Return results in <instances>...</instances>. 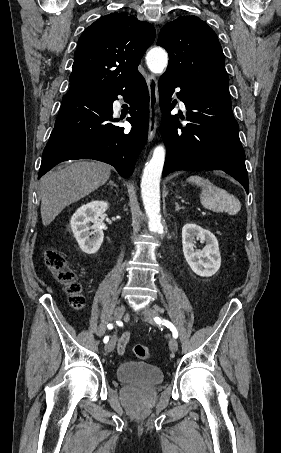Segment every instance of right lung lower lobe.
<instances>
[{"instance_id": "right-lung-lower-lobe-1", "label": "right lung lower lobe", "mask_w": 281, "mask_h": 453, "mask_svg": "<svg viewBox=\"0 0 281 453\" xmlns=\"http://www.w3.org/2000/svg\"><path fill=\"white\" fill-rule=\"evenodd\" d=\"M117 95L130 104L131 131L115 125L112 104ZM149 93L140 73L116 90L67 93L43 151L38 179L60 162L95 159L129 177L148 134ZM124 117V116H122Z\"/></svg>"}]
</instances>
